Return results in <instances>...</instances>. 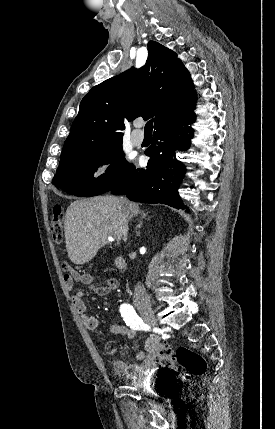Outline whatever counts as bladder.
Instances as JSON below:
<instances>
[{
	"label": "bladder",
	"instance_id": "1",
	"mask_svg": "<svg viewBox=\"0 0 275 429\" xmlns=\"http://www.w3.org/2000/svg\"><path fill=\"white\" fill-rule=\"evenodd\" d=\"M174 377H147L144 381H133L131 385L138 387V393H144V398H177Z\"/></svg>",
	"mask_w": 275,
	"mask_h": 429
}]
</instances>
